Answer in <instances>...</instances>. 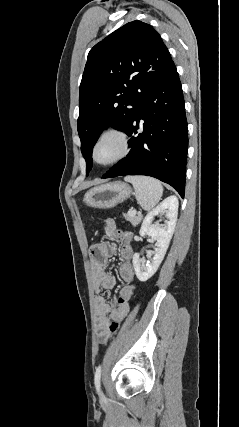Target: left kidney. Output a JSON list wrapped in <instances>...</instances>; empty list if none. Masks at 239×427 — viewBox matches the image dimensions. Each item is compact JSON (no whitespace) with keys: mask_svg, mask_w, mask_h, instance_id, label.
<instances>
[{"mask_svg":"<svg viewBox=\"0 0 239 427\" xmlns=\"http://www.w3.org/2000/svg\"><path fill=\"white\" fill-rule=\"evenodd\" d=\"M165 213L167 220L163 226L154 225L152 221L155 216ZM178 215V199L176 196H170L163 200L158 206L151 210L143 220L140 235L149 236L155 243L154 256L151 261L146 264L141 263L138 253L133 255V266L137 278L144 282L151 278L161 264L170 240L174 233Z\"/></svg>","mask_w":239,"mask_h":427,"instance_id":"obj_1","label":"left kidney"}]
</instances>
